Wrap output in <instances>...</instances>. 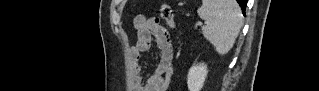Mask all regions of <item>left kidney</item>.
I'll list each match as a JSON object with an SVG mask.
<instances>
[{"instance_id":"1","label":"left kidney","mask_w":319,"mask_h":91,"mask_svg":"<svg viewBox=\"0 0 319 91\" xmlns=\"http://www.w3.org/2000/svg\"><path fill=\"white\" fill-rule=\"evenodd\" d=\"M207 65L204 63L194 64L187 75V85L189 91H200L207 77Z\"/></svg>"}]
</instances>
